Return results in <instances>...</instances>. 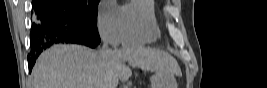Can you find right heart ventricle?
<instances>
[{"label":"right heart ventricle","mask_w":267,"mask_h":88,"mask_svg":"<svg viewBox=\"0 0 267 88\" xmlns=\"http://www.w3.org/2000/svg\"><path fill=\"white\" fill-rule=\"evenodd\" d=\"M121 11L124 45H148L159 39L161 29L153 0H132Z\"/></svg>","instance_id":"1"}]
</instances>
